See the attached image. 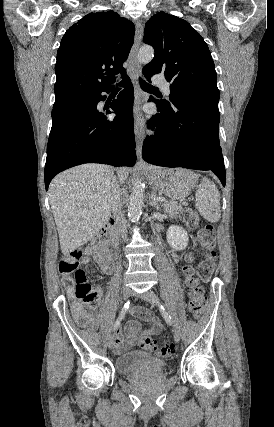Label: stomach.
<instances>
[{
  "instance_id": "stomach-1",
  "label": "stomach",
  "mask_w": 274,
  "mask_h": 427,
  "mask_svg": "<svg viewBox=\"0 0 274 427\" xmlns=\"http://www.w3.org/2000/svg\"><path fill=\"white\" fill-rule=\"evenodd\" d=\"M147 176L156 190L168 198H176V200L189 196L197 184V174L190 170H183V168L164 170V168L150 166Z\"/></svg>"
}]
</instances>
